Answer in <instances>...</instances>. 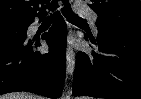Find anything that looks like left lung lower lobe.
Returning a JSON list of instances; mask_svg holds the SVG:
<instances>
[{
    "label": "left lung lower lobe",
    "mask_w": 141,
    "mask_h": 99,
    "mask_svg": "<svg viewBox=\"0 0 141 99\" xmlns=\"http://www.w3.org/2000/svg\"><path fill=\"white\" fill-rule=\"evenodd\" d=\"M95 45L99 53H77L73 95L141 99V31L98 28Z\"/></svg>",
    "instance_id": "obj_1"
}]
</instances>
